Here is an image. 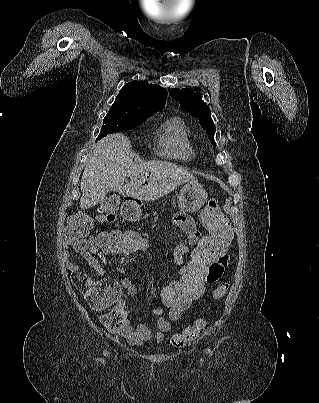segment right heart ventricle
Masks as SVG:
<instances>
[{"label":"right heart ventricle","mask_w":319,"mask_h":403,"mask_svg":"<svg viewBox=\"0 0 319 403\" xmlns=\"http://www.w3.org/2000/svg\"><path fill=\"white\" fill-rule=\"evenodd\" d=\"M157 152L161 156L188 160L196 152L190 130L185 121L174 116L167 119L159 128Z\"/></svg>","instance_id":"e07e8e85"}]
</instances>
